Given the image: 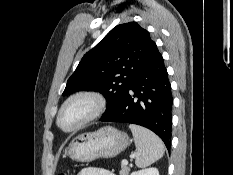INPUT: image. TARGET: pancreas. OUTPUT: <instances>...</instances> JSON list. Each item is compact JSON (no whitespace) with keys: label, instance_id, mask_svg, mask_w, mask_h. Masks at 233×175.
I'll use <instances>...</instances> for the list:
<instances>
[{"label":"pancreas","instance_id":"pancreas-1","mask_svg":"<svg viewBox=\"0 0 233 175\" xmlns=\"http://www.w3.org/2000/svg\"><path fill=\"white\" fill-rule=\"evenodd\" d=\"M130 171V168L126 167V166H121V170L119 171L120 175H128Z\"/></svg>","mask_w":233,"mask_h":175}]
</instances>
